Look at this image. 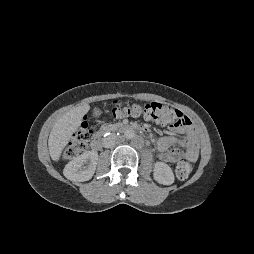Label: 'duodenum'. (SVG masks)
Listing matches in <instances>:
<instances>
[{"mask_svg": "<svg viewBox=\"0 0 254 254\" xmlns=\"http://www.w3.org/2000/svg\"><path fill=\"white\" fill-rule=\"evenodd\" d=\"M116 129L120 131H135L138 129L137 126L134 125H118ZM102 133H98L91 142V147L94 150H99L102 147Z\"/></svg>", "mask_w": 254, "mask_h": 254, "instance_id": "duodenum-1", "label": "duodenum"}]
</instances>
